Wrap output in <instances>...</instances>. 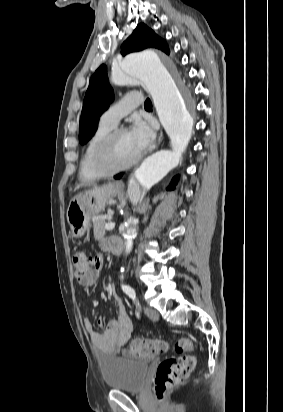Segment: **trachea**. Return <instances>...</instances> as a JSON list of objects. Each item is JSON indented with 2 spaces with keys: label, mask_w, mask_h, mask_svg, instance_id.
<instances>
[{
  "label": "trachea",
  "mask_w": 283,
  "mask_h": 412,
  "mask_svg": "<svg viewBox=\"0 0 283 412\" xmlns=\"http://www.w3.org/2000/svg\"><path fill=\"white\" fill-rule=\"evenodd\" d=\"M144 107H145V108H150V107H152V103H151L150 99H147V100L145 101Z\"/></svg>",
  "instance_id": "1"
}]
</instances>
